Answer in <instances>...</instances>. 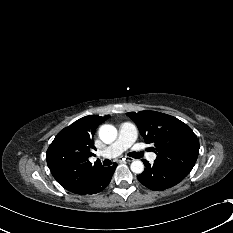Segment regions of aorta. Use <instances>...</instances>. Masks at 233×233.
I'll use <instances>...</instances> for the list:
<instances>
[{
    "instance_id": "762f6f07",
    "label": "aorta",
    "mask_w": 233,
    "mask_h": 233,
    "mask_svg": "<svg viewBox=\"0 0 233 233\" xmlns=\"http://www.w3.org/2000/svg\"><path fill=\"white\" fill-rule=\"evenodd\" d=\"M99 137L106 143H112L117 137V129L110 124H104L99 128ZM131 171L136 174H140L144 171V164L140 160H135L131 163Z\"/></svg>"
}]
</instances>
